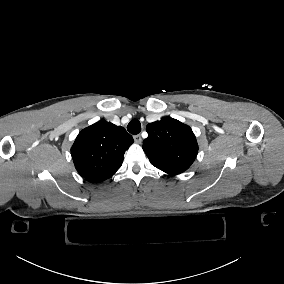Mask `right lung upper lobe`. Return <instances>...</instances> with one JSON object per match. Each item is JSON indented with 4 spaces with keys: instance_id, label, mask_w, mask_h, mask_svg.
<instances>
[{
    "instance_id": "1",
    "label": "right lung upper lobe",
    "mask_w": 284,
    "mask_h": 284,
    "mask_svg": "<svg viewBox=\"0 0 284 284\" xmlns=\"http://www.w3.org/2000/svg\"><path fill=\"white\" fill-rule=\"evenodd\" d=\"M133 138L123 127L100 120L78 134L71 155L78 173L98 183L112 177L121 167Z\"/></svg>"
}]
</instances>
